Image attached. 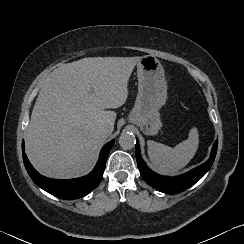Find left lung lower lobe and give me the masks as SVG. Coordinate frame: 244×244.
I'll return each instance as SVG.
<instances>
[{
    "label": "left lung lower lobe",
    "mask_w": 244,
    "mask_h": 244,
    "mask_svg": "<svg viewBox=\"0 0 244 244\" xmlns=\"http://www.w3.org/2000/svg\"><path fill=\"white\" fill-rule=\"evenodd\" d=\"M218 141H215L209 160L189 172L176 176L166 177L150 170L141 157L139 142L136 140L135 153L138 169L142 178L153 188L166 194H175L186 190L199 181L210 169L216 156Z\"/></svg>",
    "instance_id": "obj_1"
}]
</instances>
